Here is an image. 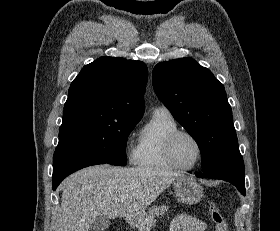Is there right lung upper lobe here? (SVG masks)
Instances as JSON below:
<instances>
[{
	"instance_id": "1",
	"label": "right lung upper lobe",
	"mask_w": 280,
	"mask_h": 231,
	"mask_svg": "<svg viewBox=\"0 0 280 231\" xmlns=\"http://www.w3.org/2000/svg\"><path fill=\"white\" fill-rule=\"evenodd\" d=\"M148 69L143 62L100 57L73 80L63 119L123 118L140 120Z\"/></svg>"
}]
</instances>
